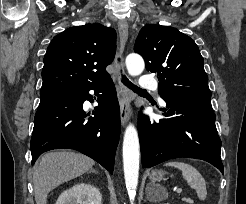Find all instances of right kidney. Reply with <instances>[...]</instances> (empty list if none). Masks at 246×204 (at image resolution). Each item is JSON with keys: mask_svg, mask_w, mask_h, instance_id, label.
Here are the masks:
<instances>
[{"mask_svg": "<svg viewBox=\"0 0 246 204\" xmlns=\"http://www.w3.org/2000/svg\"><path fill=\"white\" fill-rule=\"evenodd\" d=\"M56 204H102V195L95 186L79 183L64 191Z\"/></svg>", "mask_w": 246, "mask_h": 204, "instance_id": "ca27d5eb", "label": "right kidney"}]
</instances>
